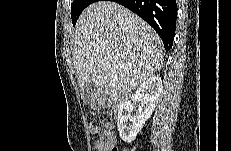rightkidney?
Returning <instances> with one entry per match:
<instances>
[{
  "label": "right kidney",
  "instance_id": "right-kidney-1",
  "mask_svg": "<svg viewBox=\"0 0 231 151\" xmlns=\"http://www.w3.org/2000/svg\"><path fill=\"white\" fill-rule=\"evenodd\" d=\"M163 89L162 79L152 76L139 85L131 100L120 104L118 111V131L121 139L127 143L135 140L145 122L151 117ZM133 102H140L138 114L132 115Z\"/></svg>",
  "mask_w": 231,
  "mask_h": 151
}]
</instances>
